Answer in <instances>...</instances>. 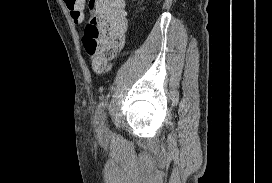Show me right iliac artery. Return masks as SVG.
I'll list each match as a JSON object with an SVG mask.
<instances>
[{
  "label": "right iliac artery",
  "instance_id": "82829eb1",
  "mask_svg": "<svg viewBox=\"0 0 272 183\" xmlns=\"http://www.w3.org/2000/svg\"><path fill=\"white\" fill-rule=\"evenodd\" d=\"M106 106V102L102 101L98 105V108L96 110V115H95V124L98 126V130L101 129L104 125V120H105V112L104 108Z\"/></svg>",
  "mask_w": 272,
  "mask_h": 183
}]
</instances>
